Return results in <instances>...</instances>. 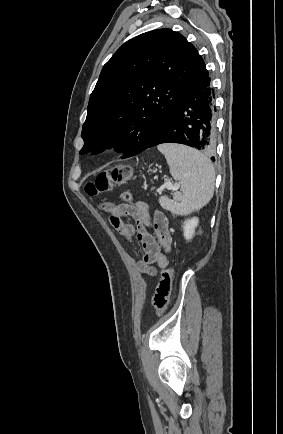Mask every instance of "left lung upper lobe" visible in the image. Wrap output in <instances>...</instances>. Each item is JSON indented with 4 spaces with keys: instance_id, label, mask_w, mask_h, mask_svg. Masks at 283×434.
Wrapping results in <instances>:
<instances>
[{
    "instance_id": "obj_1",
    "label": "left lung upper lobe",
    "mask_w": 283,
    "mask_h": 434,
    "mask_svg": "<svg viewBox=\"0 0 283 434\" xmlns=\"http://www.w3.org/2000/svg\"><path fill=\"white\" fill-rule=\"evenodd\" d=\"M207 75L197 49L171 29L127 41L91 93L80 154L112 146L125 152L122 158L141 153L183 93Z\"/></svg>"
}]
</instances>
